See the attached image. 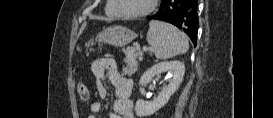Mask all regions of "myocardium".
<instances>
[{"instance_id": "obj_1", "label": "myocardium", "mask_w": 273, "mask_h": 118, "mask_svg": "<svg viewBox=\"0 0 273 118\" xmlns=\"http://www.w3.org/2000/svg\"><path fill=\"white\" fill-rule=\"evenodd\" d=\"M114 1V6L119 12V14L127 19H135V18H140L149 15L156 7V3L158 0H151L150 5L147 9H145L142 12L139 13H127L123 8L120 0H113Z\"/></svg>"}]
</instances>
